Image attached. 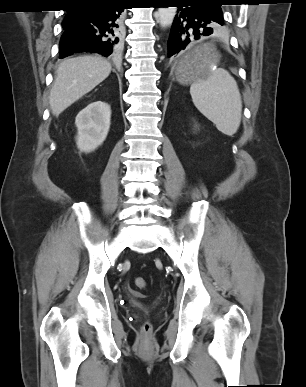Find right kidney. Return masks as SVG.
<instances>
[{
  "mask_svg": "<svg viewBox=\"0 0 306 387\" xmlns=\"http://www.w3.org/2000/svg\"><path fill=\"white\" fill-rule=\"evenodd\" d=\"M111 109L102 101L90 103L76 116L78 130L76 144L81 152H92L107 137L110 128Z\"/></svg>",
  "mask_w": 306,
  "mask_h": 387,
  "instance_id": "1",
  "label": "right kidney"
}]
</instances>
